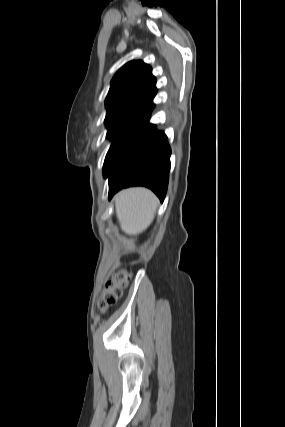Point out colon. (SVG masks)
<instances>
[{
    "instance_id": "5ec220e1",
    "label": "colon",
    "mask_w": 285,
    "mask_h": 427,
    "mask_svg": "<svg viewBox=\"0 0 285 427\" xmlns=\"http://www.w3.org/2000/svg\"><path fill=\"white\" fill-rule=\"evenodd\" d=\"M129 274L125 269L116 271L101 294L98 305L101 311H105L110 305L116 303L128 284Z\"/></svg>"
}]
</instances>
